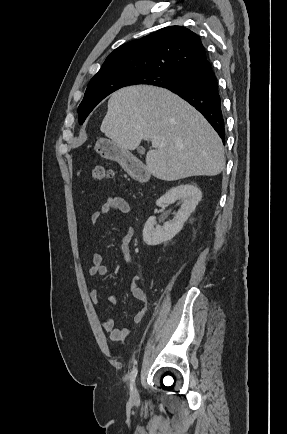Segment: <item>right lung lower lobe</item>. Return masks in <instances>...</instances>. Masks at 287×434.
Returning a JSON list of instances; mask_svg holds the SVG:
<instances>
[{
    "instance_id": "1",
    "label": "right lung lower lobe",
    "mask_w": 287,
    "mask_h": 434,
    "mask_svg": "<svg viewBox=\"0 0 287 434\" xmlns=\"http://www.w3.org/2000/svg\"><path fill=\"white\" fill-rule=\"evenodd\" d=\"M165 88L194 106L208 120L225 143V123L217 78L208 59L185 70Z\"/></svg>"
}]
</instances>
